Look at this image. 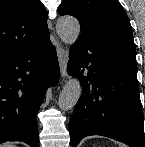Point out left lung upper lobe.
Returning a JSON list of instances; mask_svg holds the SVG:
<instances>
[{
	"label": "left lung upper lobe",
	"instance_id": "left-lung-upper-lobe-1",
	"mask_svg": "<svg viewBox=\"0 0 145 147\" xmlns=\"http://www.w3.org/2000/svg\"><path fill=\"white\" fill-rule=\"evenodd\" d=\"M58 13L76 17L81 34L133 40L129 18L118 0H63Z\"/></svg>",
	"mask_w": 145,
	"mask_h": 147
}]
</instances>
